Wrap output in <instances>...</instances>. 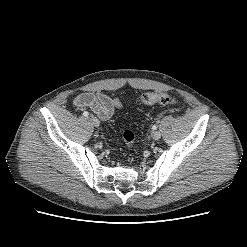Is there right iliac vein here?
I'll use <instances>...</instances> for the list:
<instances>
[{
    "label": "right iliac vein",
    "instance_id": "right-iliac-vein-1",
    "mask_svg": "<svg viewBox=\"0 0 247 247\" xmlns=\"http://www.w3.org/2000/svg\"><path fill=\"white\" fill-rule=\"evenodd\" d=\"M89 121L95 126L98 127L100 125V121L94 117V116H90L89 117Z\"/></svg>",
    "mask_w": 247,
    "mask_h": 247
}]
</instances>
